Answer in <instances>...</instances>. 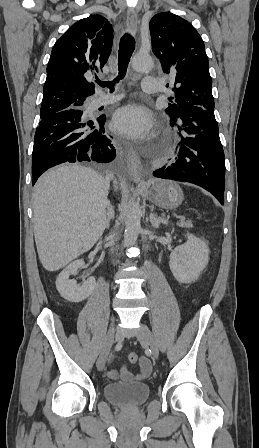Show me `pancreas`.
<instances>
[{"label": "pancreas", "mask_w": 259, "mask_h": 448, "mask_svg": "<svg viewBox=\"0 0 259 448\" xmlns=\"http://www.w3.org/2000/svg\"><path fill=\"white\" fill-rule=\"evenodd\" d=\"M178 226L180 228H192L191 222H178Z\"/></svg>", "instance_id": "1"}]
</instances>
